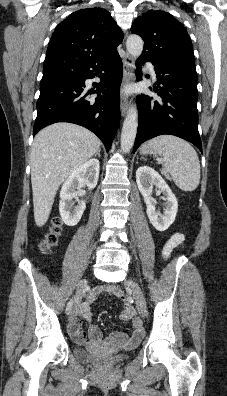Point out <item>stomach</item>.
I'll list each match as a JSON object with an SVG mask.
<instances>
[{"label": "stomach", "instance_id": "obj_1", "mask_svg": "<svg viewBox=\"0 0 227 396\" xmlns=\"http://www.w3.org/2000/svg\"><path fill=\"white\" fill-rule=\"evenodd\" d=\"M141 154L147 155V154H154V149L148 144H144L140 150Z\"/></svg>", "mask_w": 227, "mask_h": 396}]
</instances>
